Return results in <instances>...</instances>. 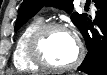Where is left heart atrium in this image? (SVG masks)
<instances>
[{"label":"left heart atrium","instance_id":"1","mask_svg":"<svg viewBox=\"0 0 107 75\" xmlns=\"http://www.w3.org/2000/svg\"><path fill=\"white\" fill-rule=\"evenodd\" d=\"M71 37L74 39V41H75V38L71 35Z\"/></svg>","mask_w":107,"mask_h":75}]
</instances>
